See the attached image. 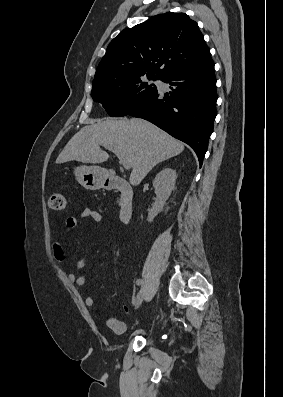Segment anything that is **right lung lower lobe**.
<instances>
[{
  "instance_id": "obj_1",
  "label": "right lung lower lobe",
  "mask_w": 283,
  "mask_h": 397,
  "mask_svg": "<svg viewBox=\"0 0 283 397\" xmlns=\"http://www.w3.org/2000/svg\"><path fill=\"white\" fill-rule=\"evenodd\" d=\"M162 81L170 84V95L157 91L128 115L146 119L187 143L202 165L217 115L213 60L174 71Z\"/></svg>"
}]
</instances>
